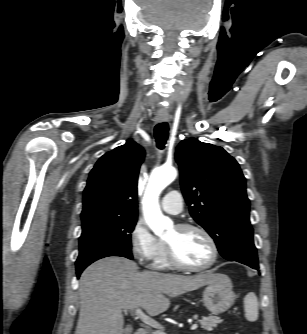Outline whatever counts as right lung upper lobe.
Segmentation results:
<instances>
[{"label":"right lung upper lobe","mask_w":307,"mask_h":334,"mask_svg":"<svg viewBox=\"0 0 307 334\" xmlns=\"http://www.w3.org/2000/svg\"><path fill=\"white\" fill-rule=\"evenodd\" d=\"M144 155L132 140L104 154L90 172L81 217H137V180Z\"/></svg>","instance_id":"obj_1"}]
</instances>
